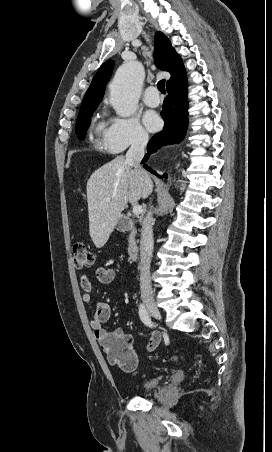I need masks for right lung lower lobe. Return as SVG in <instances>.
<instances>
[{"mask_svg": "<svg viewBox=\"0 0 272 452\" xmlns=\"http://www.w3.org/2000/svg\"><path fill=\"white\" fill-rule=\"evenodd\" d=\"M168 96L165 98L161 115L165 125L161 132L155 134L148 143L147 154L142 163H145L149 155L157 151L164 144L179 143L186 132L188 124V100L186 78L172 87L167 88ZM148 171L159 178H166L158 175L151 168L144 166Z\"/></svg>", "mask_w": 272, "mask_h": 452, "instance_id": "1", "label": "right lung lower lobe"}]
</instances>
